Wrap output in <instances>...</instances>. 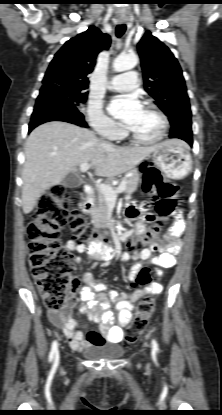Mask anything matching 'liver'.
<instances>
[{"instance_id":"1","label":"liver","mask_w":222,"mask_h":415,"mask_svg":"<svg viewBox=\"0 0 222 415\" xmlns=\"http://www.w3.org/2000/svg\"><path fill=\"white\" fill-rule=\"evenodd\" d=\"M150 147H118L99 140L85 128L52 121L35 128L25 146L22 171V205L29 214L38 198L59 185L77 166L89 163L98 176L113 177L140 164L157 149Z\"/></svg>"}]
</instances>
